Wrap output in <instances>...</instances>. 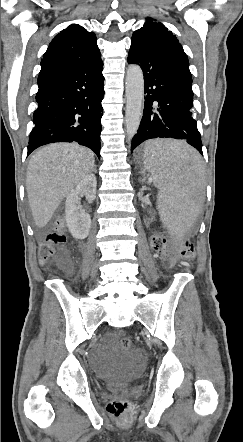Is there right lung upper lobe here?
I'll list each match as a JSON object with an SVG mask.
<instances>
[{
  "instance_id": "1",
  "label": "right lung upper lobe",
  "mask_w": 243,
  "mask_h": 442,
  "mask_svg": "<svg viewBox=\"0 0 243 442\" xmlns=\"http://www.w3.org/2000/svg\"><path fill=\"white\" fill-rule=\"evenodd\" d=\"M100 59L101 54L95 34L77 24H72L56 35L50 43L41 60L39 75Z\"/></svg>"
}]
</instances>
